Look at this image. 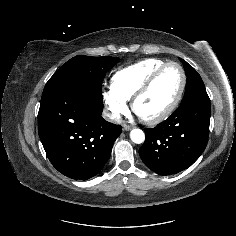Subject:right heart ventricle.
Returning <instances> with one entry per match:
<instances>
[{"instance_id": "1", "label": "right heart ventricle", "mask_w": 236, "mask_h": 236, "mask_svg": "<svg viewBox=\"0 0 236 236\" xmlns=\"http://www.w3.org/2000/svg\"><path fill=\"white\" fill-rule=\"evenodd\" d=\"M166 62L161 59H146L118 70L112 77L111 87L124 99H132L142 84Z\"/></svg>"}]
</instances>
